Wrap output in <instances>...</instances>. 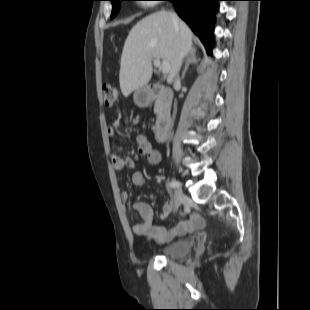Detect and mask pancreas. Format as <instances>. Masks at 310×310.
<instances>
[{
	"mask_svg": "<svg viewBox=\"0 0 310 310\" xmlns=\"http://www.w3.org/2000/svg\"><path fill=\"white\" fill-rule=\"evenodd\" d=\"M154 112H155L156 114L158 113V107H157V104L155 105Z\"/></svg>",
	"mask_w": 310,
	"mask_h": 310,
	"instance_id": "pancreas-1",
	"label": "pancreas"
}]
</instances>
